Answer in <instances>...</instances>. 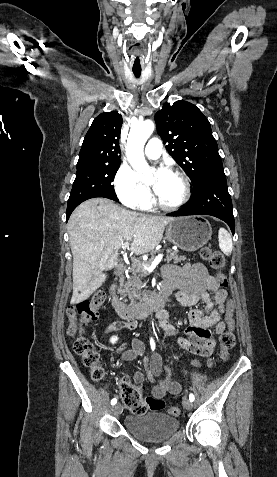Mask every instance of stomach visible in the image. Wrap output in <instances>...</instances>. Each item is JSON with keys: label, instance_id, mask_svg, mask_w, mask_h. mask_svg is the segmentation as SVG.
Segmentation results:
<instances>
[{"label": "stomach", "instance_id": "0dacf381", "mask_svg": "<svg viewBox=\"0 0 277 477\" xmlns=\"http://www.w3.org/2000/svg\"><path fill=\"white\" fill-rule=\"evenodd\" d=\"M212 236L210 223L199 216L174 218L166 228V238L173 245L187 252L205 246Z\"/></svg>", "mask_w": 277, "mask_h": 477}]
</instances>
